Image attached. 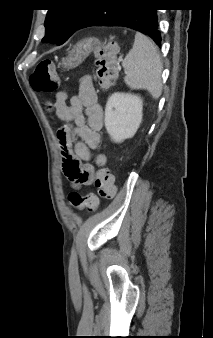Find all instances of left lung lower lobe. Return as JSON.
I'll list each match as a JSON object with an SVG mask.
<instances>
[{"label": "left lung lower lobe", "mask_w": 213, "mask_h": 338, "mask_svg": "<svg viewBox=\"0 0 213 338\" xmlns=\"http://www.w3.org/2000/svg\"><path fill=\"white\" fill-rule=\"evenodd\" d=\"M156 8L150 0H106L101 2L80 24L91 26H124L151 37L160 46Z\"/></svg>", "instance_id": "0a47b994"}]
</instances>
